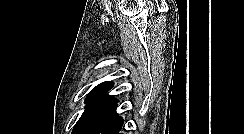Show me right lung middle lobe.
I'll return each mask as SVG.
<instances>
[{
  "label": "right lung middle lobe",
  "mask_w": 244,
  "mask_h": 134,
  "mask_svg": "<svg viewBox=\"0 0 244 134\" xmlns=\"http://www.w3.org/2000/svg\"><path fill=\"white\" fill-rule=\"evenodd\" d=\"M116 107V100L89 103L72 134H111L123 120Z\"/></svg>",
  "instance_id": "right-lung-middle-lobe-1"
}]
</instances>
